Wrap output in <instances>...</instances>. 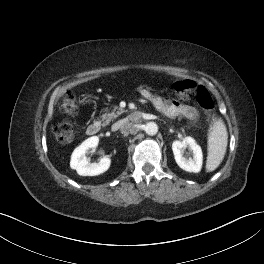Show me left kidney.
Here are the masks:
<instances>
[{"label": "left kidney", "mask_w": 264, "mask_h": 264, "mask_svg": "<svg viewBox=\"0 0 264 264\" xmlns=\"http://www.w3.org/2000/svg\"><path fill=\"white\" fill-rule=\"evenodd\" d=\"M187 147L193 152V158L183 157V151ZM175 161L180 168L188 172L197 173L201 170L203 155L201 147L192 137H185L182 141L176 140L172 143Z\"/></svg>", "instance_id": "5707ae66"}]
</instances>
